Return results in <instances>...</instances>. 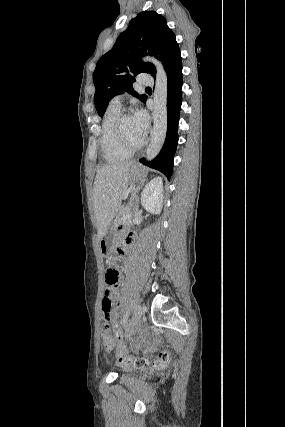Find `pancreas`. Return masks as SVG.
<instances>
[{
  "instance_id": "obj_1",
  "label": "pancreas",
  "mask_w": 285,
  "mask_h": 427,
  "mask_svg": "<svg viewBox=\"0 0 285 427\" xmlns=\"http://www.w3.org/2000/svg\"><path fill=\"white\" fill-rule=\"evenodd\" d=\"M126 214H130V215L132 214V209H131L130 206L121 207L119 209L118 215H117L116 220H115L116 225H119V224H128V223L131 222V218L132 217H130L129 219H125L124 218V216Z\"/></svg>"
}]
</instances>
